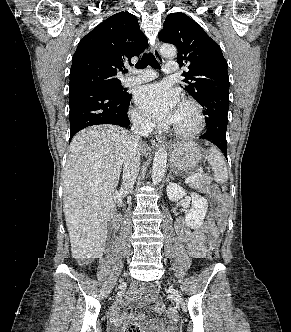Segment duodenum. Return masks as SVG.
Returning a JSON list of instances; mask_svg holds the SVG:
<instances>
[{"instance_id": "410a0bca", "label": "duodenum", "mask_w": 291, "mask_h": 332, "mask_svg": "<svg viewBox=\"0 0 291 332\" xmlns=\"http://www.w3.org/2000/svg\"><path fill=\"white\" fill-rule=\"evenodd\" d=\"M120 223H121V217L118 216L114 220V226L117 228L119 227Z\"/></svg>"}]
</instances>
